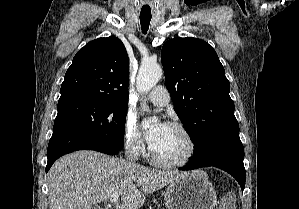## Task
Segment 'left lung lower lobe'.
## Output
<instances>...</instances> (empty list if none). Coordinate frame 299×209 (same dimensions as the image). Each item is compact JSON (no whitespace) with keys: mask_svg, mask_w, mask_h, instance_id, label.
Masks as SVG:
<instances>
[{"mask_svg":"<svg viewBox=\"0 0 299 209\" xmlns=\"http://www.w3.org/2000/svg\"><path fill=\"white\" fill-rule=\"evenodd\" d=\"M244 148L239 138L238 122L229 124L211 135L198 152L193 153L190 162L180 170L214 166L231 174L245 187Z\"/></svg>","mask_w":299,"mask_h":209,"instance_id":"1","label":"left lung lower lobe"}]
</instances>
